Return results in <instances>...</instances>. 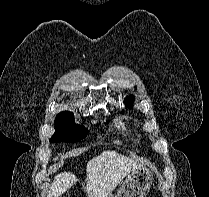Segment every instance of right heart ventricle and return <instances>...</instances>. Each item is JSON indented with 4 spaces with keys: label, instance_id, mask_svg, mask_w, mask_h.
Segmentation results:
<instances>
[{
    "label": "right heart ventricle",
    "instance_id": "e07e8e85",
    "mask_svg": "<svg viewBox=\"0 0 209 197\" xmlns=\"http://www.w3.org/2000/svg\"><path fill=\"white\" fill-rule=\"evenodd\" d=\"M119 124H120L121 126L125 127V123H124L122 120L119 121Z\"/></svg>",
    "mask_w": 209,
    "mask_h": 197
}]
</instances>
